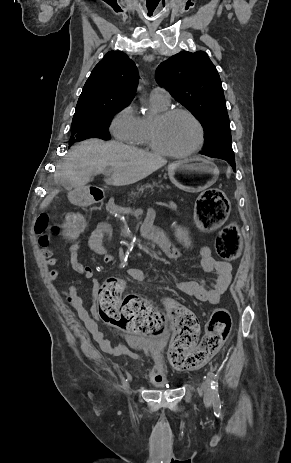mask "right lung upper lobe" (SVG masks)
Here are the masks:
<instances>
[{
  "label": "right lung upper lobe",
  "instance_id": "obj_1",
  "mask_svg": "<svg viewBox=\"0 0 291 463\" xmlns=\"http://www.w3.org/2000/svg\"><path fill=\"white\" fill-rule=\"evenodd\" d=\"M137 84L138 71L134 62L121 51H109L92 70L74 115L95 111L108 101L130 103Z\"/></svg>",
  "mask_w": 291,
  "mask_h": 463
}]
</instances>
